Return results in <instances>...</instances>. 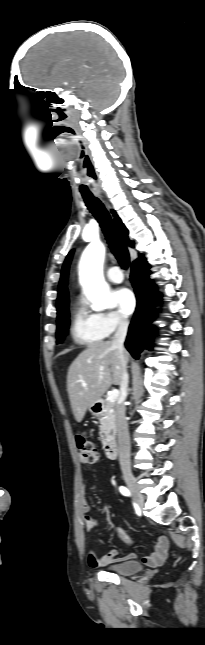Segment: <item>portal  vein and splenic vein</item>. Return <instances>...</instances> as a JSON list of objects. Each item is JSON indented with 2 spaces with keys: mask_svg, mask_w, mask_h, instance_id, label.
<instances>
[{
  "mask_svg": "<svg viewBox=\"0 0 205 645\" xmlns=\"http://www.w3.org/2000/svg\"><path fill=\"white\" fill-rule=\"evenodd\" d=\"M118 397H119V391L115 389L109 395L108 400L110 402H115L118 399Z\"/></svg>",
  "mask_w": 205,
  "mask_h": 645,
  "instance_id": "18ae733b",
  "label": "portal vein and splenic vein"
}]
</instances>
